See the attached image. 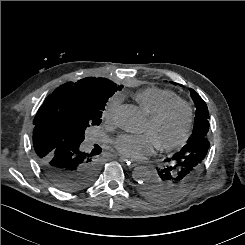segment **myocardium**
<instances>
[{"instance_id":"myocardium-1","label":"myocardium","mask_w":245,"mask_h":245,"mask_svg":"<svg viewBox=\"0 0 245 245\" xmlns=\"http://www.w3.org/2000/svg\"><path fill=\"white\" fill-rule=\"evenodd\" d=\"M176 106L184 107L187 113L184 131L182 135L176 141L172 143H168V144L156 145L157 148L160 150L170 151V150L177 149L181 147L182 145H184L191 135L192 127L194 123L195 112H194V108L192 104L186 100L176 99V100L166 103L164 106H162L160 109H158L156 112L150 115L149 121L152 124L159 122L164 116H166Z\"/></svg>"}]
</instances>
